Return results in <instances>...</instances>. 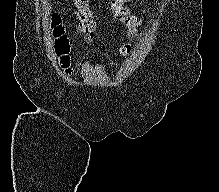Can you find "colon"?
Instances as JSON below:
<instances>
[{
  "label": "colon",
  "instance_id": "1",
  "mask_svg": "<svg viewBox=\"0 0 219 192\" xmlns=\"http://www.w3.org/2000/svg\"><path fill=\"white\" fill-rule=\"evenodd\" d=\"M76 5H79L83 8L88 6V0H74ZM83 25L86 30L92 29L94 27V22L89 19L83 20ZM51 29H52V36L54 39V49L56 55L59 59V63L61 67L67 72H70V40L68 34L66 32V28L63 25L61 18L54 14L51 17ZM132 47L129 43H126L122 46L121 51L124 54H129Z\"/></svg>",
  "mask_w": 219,
  "mask_h": 192
}]
</instances>
